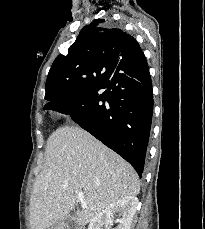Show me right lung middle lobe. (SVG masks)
Masks as SVG:
<instances>
[{
  "mask_svg": "<svg viewBox=\"0 0 205 229\" xmlns=\"http://www.w3.org/2000/svg\"><path fill=\"white\" fill-rule=\"evenodd\" d=\"M109 78H110V76H106V75L96 76L93 78V80L91 81L88 88L96 86L98 84H105L109 80ZM88 88H86V89H88ZM44 109H46V108H44Z\"/></svg>",
  "mask_w": 205,
  "mask_h": 229,
  "instance_id": "obj_1",
  "label": "right lung middle lobe"
}]
</instances>
